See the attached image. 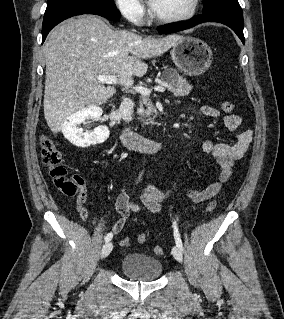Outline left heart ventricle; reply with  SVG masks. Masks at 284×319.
Returning <instances> with one entry per match:
<instances>
[{
	"instance_id": "obj_1",
	"label": "left heart ventricle",
	"mask_w": 284,
	"mask_h": 319,
	"mask_svg": "<svg viewBox=\"0 0 284 319\" xmlns=\"http://www.w3.org/2000/svg\"><path fill=\"white\" fill-rule=\"evenodd\" d=\"M192 0H155L153 9L161 16H179L191 7Z\"/></svg>"
}]
</instances>
